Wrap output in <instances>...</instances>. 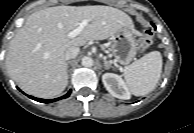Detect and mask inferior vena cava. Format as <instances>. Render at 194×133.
Returning a JSON list of instances; mask_svg holds the SVG:
<instances>
[{
  "label": "inferior vena cava",
  "mask_w": 194,
  "mask_h": 133,
  "mask_svg": "<svg viewBox=\"0 0 194 133\" xmlns=\"http://www.w3.org/2000/svg\"><path fill=\"white\" fill-rule=\"evenodd\" d=\"M80 49L78 47H70L66 52H65V60H70L74 59L77 57Z\"/></svg>",
  "instance_id": "obj_1"
}]
</instances>
